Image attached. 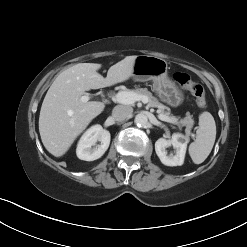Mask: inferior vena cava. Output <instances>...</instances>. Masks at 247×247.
<instances>
[{
  "instance_id": "1",
  "label": "inferior vena cava",
  "mask_w": 247,
  "mask_h": 247,
  "mask_svg": "<svg viewBox=\"0 0 247 247\" xmlns=\"http://www.w3.org/2000/svg\"><path fill=\"white\" fill-rule=\"evenodd\" d=\"M132 112L133 109L131 107L118 105L112 110V117L115 121L121 122L129 118Z\"/></svg>"
}]
</instances>
